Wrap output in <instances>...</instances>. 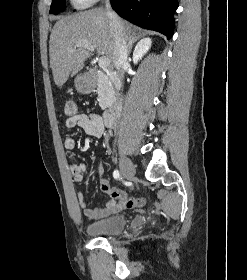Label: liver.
I'll list each match as a JSON object with an SVG mask.
<instances>
[{
    "label": "liver",
    "mask_w": 247,
    "mask_h": 280,
    "mask_svg": "<svg viewBox=\"0 0 247 280\" xmlns=\"http://www.w3.org/2000/svg\"><path fill=\"white\" fill-rule=\"evenodd\" d=\"M121 22L130 37L134 33L131 26ZM83 43L93 45L99 55L107 57L114 65V37L103 9L79 12L55 23L50 35L49 56L53 79L58 87L64 85L70 74L76 75L91 56V51L77 47Z\"/></svg>",
    "instance_id": "obj_1"
}]
</instances>
